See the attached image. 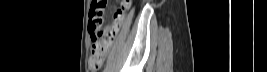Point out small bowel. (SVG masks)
Wrapping results in <instances>:
<instances>
[{
	"instance_id": "small-bowel-1",
	"label": "small bowel",
	"mask_w": 267,
	"mask_h": 72,
	"mask_svg": "<svg viewBox=\"0 0 267 72\" xmlns=\"http://www.w3.org/2000/svg\"><path fill=\"white\" fill-rule=\"evenodd\" d=\"M130 7V1L128 0H124L121 2V6H120V9H118L115 14H114V19H113V22L112 24L116 23V25L119 27L120 24L122 23L123 21V16H124V12ZM111 24V25H112ZM92 38V37H91ZM92 41H94L92 39Z\"/></svg>"
}]
</instances>
